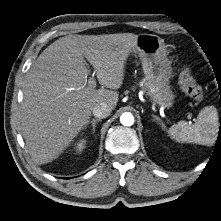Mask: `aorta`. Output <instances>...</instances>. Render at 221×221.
<instances>
[{"label":"aorta","instance_id":"762f6f07","mask_svg":"<svg viewBox=\"0 0 221 221\" xmlns=\"http://www.w3.org/2000/svg\"><path fill=\"white\" fill-rule=\"evenodd\" d=\"M120 122L124 126H131L134 124V116L129 112H125L121 115Z\"/></svg>","mask_w":221,"mask_h":221}]
</instances>
